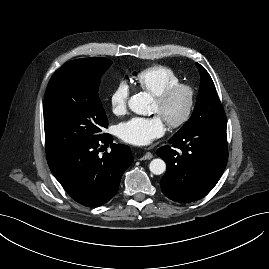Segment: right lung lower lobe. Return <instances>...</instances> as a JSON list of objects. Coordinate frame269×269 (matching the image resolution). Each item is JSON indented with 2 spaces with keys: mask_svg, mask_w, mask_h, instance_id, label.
Segmentation results:
<instances>
[{
  "mask_svg": "<svg viewBox=\"0 0 269 269\" xmlns=\"http://www.w3.org/2000/svg\"><path fill=\"white\" fill-rule=\"evenodd\" d=\"M112 141L110 134H104L100 140L47 155L53 175L66 192L84 206L98 207L109 201L133 161L130 148L123 144H112L111 152L100 158L98 146Z\"/></svg>",
  "mask_w": 269,
  "mask_h": 269,
  "instance_id": "right-lung-lower-lobe-1",
  "label": "right lung lower lobe"
}]
</instances>
